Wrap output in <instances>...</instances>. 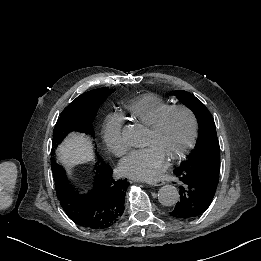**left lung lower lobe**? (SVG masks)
I'll list each match as a JSON object with an SVG mask.
<instances>
[{
  "label": "left lung lower lobe",
  "instance_id": "left-lung-lower-lobe-1",
  "mask_svg": "<svg viewBox=\"0 0 261 261\" xmlns=\"http://www.w3.org/2000/svg\"><path fill=\"white\" fill-rule=\"evenodd\" d=\"M180 200L169 213L177 219L195 218L209 207L219 181V170L206 167L176 168Z\"/></svg>",
  "mask_w": 261,
  "mask_h": 261
}]
</instances>
